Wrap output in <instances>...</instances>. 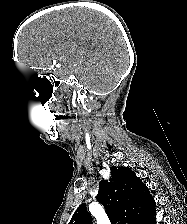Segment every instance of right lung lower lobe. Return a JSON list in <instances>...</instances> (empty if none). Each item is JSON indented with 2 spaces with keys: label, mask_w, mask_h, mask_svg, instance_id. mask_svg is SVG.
<instances>
[{
  "label": "right lung lower lobe",
  "mask_w": 187,
  "mask_h": 224,
  "mask_svg": "<svg viewBox=\"0 0 187 224\" xmlns=\"http://www.w3.org/2000/svg\"><path fill=\"white\" fill-rule=\"evenodd\" d=\"M154 215L155 209L151 213L140 218L137 222H135V224H156Z\"/></svg>",
  "instance_id": "right-lung-lower-lobe-1"
}]
</instances>
